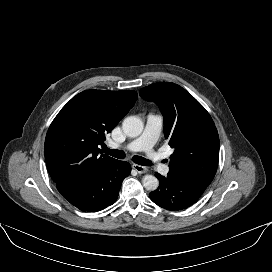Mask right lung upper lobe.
<instances>
[{
	"instance_id": "1",
	"label": "right lung upper lobe",
	"mask_w": 272,
	"mask_h": 272,
	"mask_svg": "<svg viewBox=\"0 0 272 272\" xmlns=\"http://www.w3.org/2000/svg\"><path fill=\"white\" fill-rule=\"evenodd\" d=\"M133 90H86L72 98L51 123L44 145L45 160L57 184L96 173L113 158L99 155L105 134L137 100Z\"/></svg>"
}]
</instances>
